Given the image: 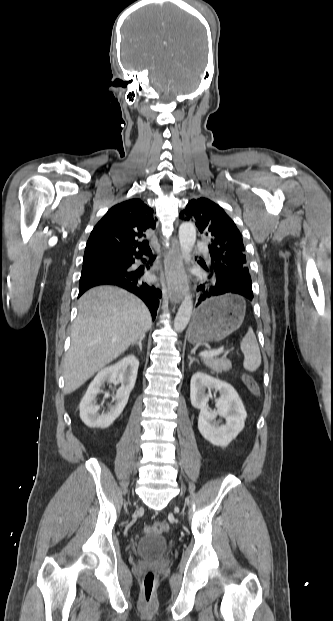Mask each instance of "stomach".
<instances>
[{
	"label": "stomach",
	"mask_w": 333,
	"mask_h": 621,
	"mask_svg": "<svg viewBox=\"0 0 333 621\" xmlns=\"http://www.w3.org/2000/svg\"><path fill=\"white\" fill-rule=\"evenodd\" d=\"M244 315L245 304L238 296L211 298L197 309L188 340L194 344L221 341L241 326Z\"/></svg>",
	"instance_id": "0dacf381"
}]
</instances>
